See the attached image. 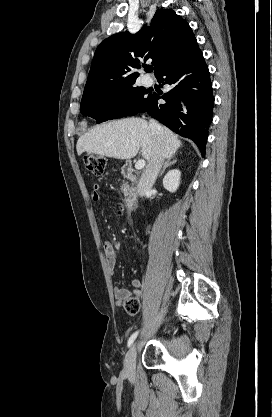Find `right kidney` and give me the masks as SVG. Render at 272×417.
<instances>
[{"label": "right kidney", "instance_id": "right-kidney-1", "mask_svg": "<svg viewBox=\"0 0 272 417\" xmlns=\"http://www.w3.org/2000/svg\"><path fill=\"white\" fill-rule=\"evenodd\" d=\"M181 172L178 169L170 170L163 178V186L169 192H175L180 184Z\"/></svg>", "mask_w": 272, "mask_h": 417}]
</instances>
